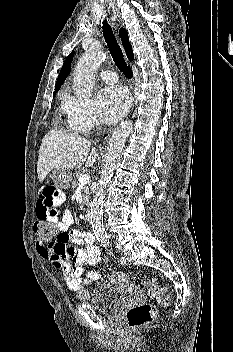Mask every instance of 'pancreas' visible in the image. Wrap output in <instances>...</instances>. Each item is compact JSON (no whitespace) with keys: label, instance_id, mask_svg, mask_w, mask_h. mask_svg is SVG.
<instances>
[{"label":"pancreas","instance_id":"1","mask_svg":"<svg viewBox=\"0 0 233 352\" xmlns=\"http://www.w3.org/2000/svg\"><path fill=\"white\" fill-rule=\"evenodd\" d=\"M79 174L76 173L73 175V180H72V188L75 190L77 189V187L80 185L78 179H79ZM83 192L85 193V195L83 196V202L81 204V207H83L84 205L88 204L89 201V194H90V186L86 185L83 187Z\"/></svg>","mask_w":233,"mask_h":352}]
</instances>
